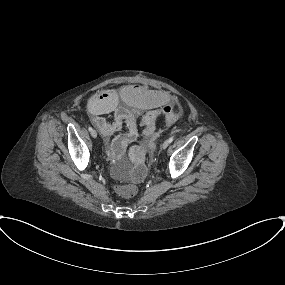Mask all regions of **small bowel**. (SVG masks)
<instances>
[{"mask_svg": "<svg viewBox=\"0 0 285 285\" xmlns=\"http://www.w3.org/2000/svg\"><path fill=\"white\" fill-rule=\"evenodd\" d=\"M123 102L127 106H122ZM147 111H155L163 116L168 124H173L181 115V109L174 106L169 95L146 87L129 85L123 90H104L92 97L89 103L91 122L101 133L113 164L120 162L126 147L137 141V120ZM108 115H111V121L106 118ZM123 125H126L127 131L118 133ZM148 138L151 140L153 136ZM145 144L146 141H143L142 145L134 150V159H137Z\"/></svg>", "mask_w": 285, "mask_h": 285, "instance_id": "obj_1", "label": "small bowel"}]
</instances>
